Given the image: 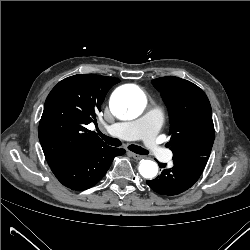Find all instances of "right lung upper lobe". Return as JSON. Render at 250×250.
Masks as SVG:
<instances>
[{"instance_id": "1", "label": "right lung upper lobe", "mask_w": 250, "mask_h": 250, "mask_svg": "<svg viewBox=\"0 0 250 250\" xmlns=\"http://www.w3.org/2000/svg\"><path fill=\"white\" fill-rule=\"evenodd\" d=\"M119 80L95 74L74 75L49 93L39 123V140L50 165L75 160L105 143L86 128L96 122L108 90Z\"/></svg>"}]
</instances>
